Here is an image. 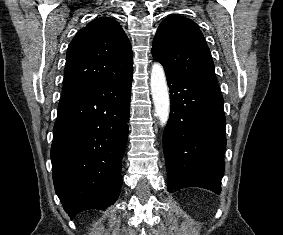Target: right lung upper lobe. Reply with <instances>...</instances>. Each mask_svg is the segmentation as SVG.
<instances>
[{"label": "right lung upper lobe", "instance_id": "right-lung-upper-lobe-1", "mask_svg": "<svg viewBox=\"0 0 283 235\" xmlns=\"http://www.w3.org/2000/svg\"><path fill=\"white\" fill-rule=\"evenodd\" d=\"M132 49L125 32L112 18H97L70 43L61 97L123 78L133 71Z\"/></svg>", "mask_w": 283, "mask_h": 235}]
</instances>
